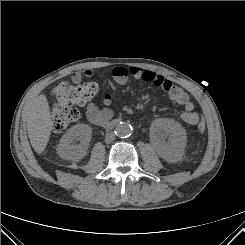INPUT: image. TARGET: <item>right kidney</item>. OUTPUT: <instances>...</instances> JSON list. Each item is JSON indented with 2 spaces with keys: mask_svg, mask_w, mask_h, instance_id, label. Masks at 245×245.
<instances>
[{
  "mask_svg": "<svg viewBox=\"0 0 245 245\" xmlns=\"http://www.w3.org/2000/svg\"><path fill=\"white\" fill-rule=\"evenodd\" d=\"M92 137V129L89 125L78 124L62 136L57 148L58 155L66 160L82 159L88 150Z\"/></svg>",
  "mask_w": 245,
  "mask_h": 245,
  "instance_id": "1",
  "label": "right kidney"
}]
</instances>
